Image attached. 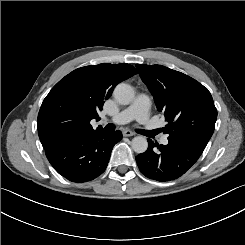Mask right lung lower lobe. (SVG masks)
Masks as SVG:
<instances>
[{
	"label": "right lung lower lobe",
	"instance_id": "right-lung-lower-lobe-1",
	"mask_svg": "<svg viewBox=\"0 0 245 245\" xmlns=\"http://www.w3.org/2000/svg\"><path fill=\"white\" fill-rule=\"evenodd\" d=\"M121 139L120 131L97 130L61 140L45 151L49 162L60 175L81 183L91 181L105 171L112 148Z\"/></svg>",
	"mask_w": 245,
	"mask_h": 245
}]
</instances>
